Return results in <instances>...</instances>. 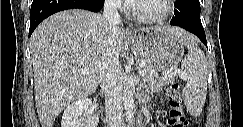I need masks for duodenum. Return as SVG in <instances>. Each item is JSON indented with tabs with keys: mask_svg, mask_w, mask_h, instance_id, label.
<instances>
[{
	"mask_svg": "<svg viewBox=\"0 0 243 127\" xmlns=\"http://www.w3.org/2000/svg\"><path fill=\"white\" fill-rule=\"evenodd\" d=\"M146 100V97L145 96H143L142 97V102H144Z\"/></svg>",
	"mask_w": 243,
	"mask_h": 127,
	"instance_id": "1",
	"label": "duodenum"
}]
</instances>
